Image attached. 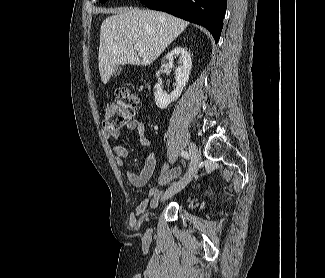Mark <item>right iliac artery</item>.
I'll return each instance as SVG.
<instances>
[{
    "instance_id": "right-iliac-artery-1",
    "label": "right iliac artery",
    "mask_w": 325,
    "mask_h": 278,
    "mask_svg": "<svg viewBox=\"0 0 325 278\" xmlns=\"http://www.w3.org/2000/svg\"><path fill=\"white\" fill-rule=\"evenodd\" d=\"M181 156L185 159H189L190 158V154L186 151H181Z\"/></svg>"
}]
</instances>
